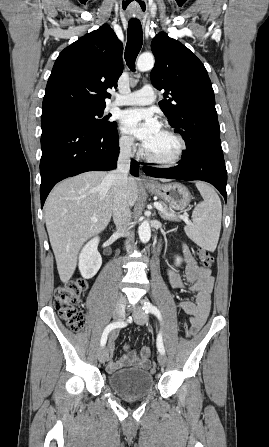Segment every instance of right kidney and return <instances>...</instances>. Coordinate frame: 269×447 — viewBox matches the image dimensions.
Wrapping results in <instances>:
<instances>
[{"mask_svg": "<svg viewBox=\"0 0 269 447\" xmlns=\"http://www.w3.org/2000/svg\"><path fill=\"white\" fill-rule=\"evenodd\" d=\"M99 237H93L84 245L79 255V269L82 277L90 279L101 267L102 257L97 249Z\"/></svg>", "mask_w": 269, "mask_h": 447, "instance_id": "obj_1", "label": "right kidney"}]
</instances>
